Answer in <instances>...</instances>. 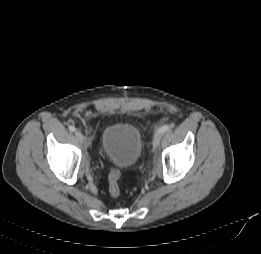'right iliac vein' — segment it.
<instances>
[{"label":"right iliac vein","instance_id":"right-iliac-vein-1","mask_svg":"<svg viewBox=\"0 0 261 254\" xmlns=\"http://www.w3.org/2000/svg\"><path fill=\"white\" fill-rule=\"evenodd\" d=\"M75 136H76L80 141L84 142L85 144L88 143V139L85 138V137L83 136V134H82L79 130H76V131H75Z\"/></svg>","mask_w":261,"mask_h":254}]
</instances>
